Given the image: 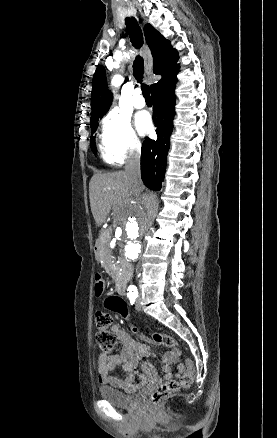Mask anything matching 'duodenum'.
<instances>
[{
	"instance_id": "410a0bca",
	"label": "duodenum",
	"mask_w": 277,
	"mask_h": 438,
	"mask_svg": "<svg viewBox=\"0 0 277 438\" xmlns=\"http://www.w3.org/2000/svg\"><path fill=\"white\" fill-rule=\"evenodd\" d=\"M100 253V247L98 244L95 245V254L99 256ZM119 268L120 273L117 275L116 278V290L120 294H124L126 292V285H125V276L129 272L130 264L127 260L120 258L119 259Z\"/></svg>"
}]
</instances>
